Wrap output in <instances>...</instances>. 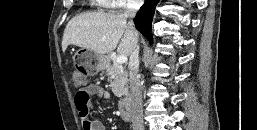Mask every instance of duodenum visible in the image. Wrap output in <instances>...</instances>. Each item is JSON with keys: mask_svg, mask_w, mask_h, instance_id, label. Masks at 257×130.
<instances>
[{"mask_svg": "<svg viewBox=\"0 0 257 130\" xmlns=\"http://www.w3.org/2000/svg\"><path fill=\"white\" fill-rule=\"evenodd\" d=\"M119 111L124 119H129L131 116V98L126 94L119 102Z\"/></svg>", "mask_w": 257, "mask_h": 130, "instance_id": "duodenum-1", "label": "duodenum"}]
</instances>
